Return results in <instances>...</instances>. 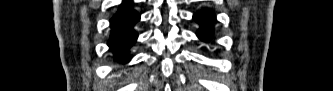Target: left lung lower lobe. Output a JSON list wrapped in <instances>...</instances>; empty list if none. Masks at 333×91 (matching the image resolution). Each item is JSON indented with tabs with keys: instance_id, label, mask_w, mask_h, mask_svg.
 I'll list each match as a JSON object with an SVG mask.
<instances>
[{
	"instance_id": "1",
	"label": "left lung lower lobe",
	"mask_w": 333,
	"mask_h": 91,
	"mask_svg": "<svg viewBox=\"0 0 333 91\" xmlns=\"http://www.w3.org/2000/svg\"><path fill=\"white\" fill-rule=\"evenodd\" d=\"M194 20L200 24V30L197 33L198 38L208 42L213 36V24L216 21L214 12L208 8H204L193 15Z\"/></svg>"
}]
</instances>
